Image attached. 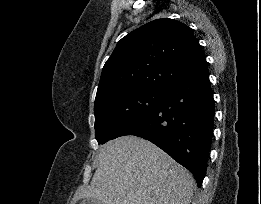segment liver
<instances>
[{
    "label": "liver",
    "mask_w": 261,
    "mask_h": 204,
    "mask_svg": "<svg viewBox=\"0 0 261 204\" xmlns=\"http://www.w3.org/2000/svg\"><path fill=\"white\" fill-rule=\"evenodd\" d=\"M98 168L73 202L91 198L101 204H190L192 174L159 147L130 135L104 144Z\"/></svg>",
    "instance_id": "6515ba94"
}]
</instances>
